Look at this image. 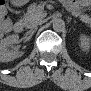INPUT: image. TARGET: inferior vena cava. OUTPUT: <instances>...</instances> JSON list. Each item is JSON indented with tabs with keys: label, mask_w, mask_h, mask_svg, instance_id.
<instances>
[{
	"label": "inferior vena cava",
	"mask_w": 91,
	"mask_h": 91,
	"mask_svg": "<svg viewBox=\"0 0 91 91\" xmlns=\"http://www.w3.org/2000/svg\"><path fill=\"white\" fill-rule=\"evenodd\" d=\"M42 22L43 21H40V19H39V20H37L35 22H32V23L28 24L27 28H36L39 24H42Z\"/></svg>",
	"instance_id": "1"
}]
</instances>
